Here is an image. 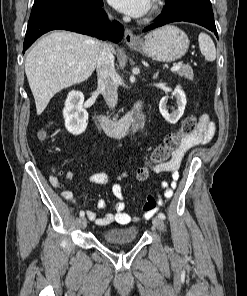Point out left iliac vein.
Here are the masks:
<instances>
[{
	"label": "left iliac vein",
	"mask_w": 247,
	"mask_h": 296,
	"mask_svg": "<svg viewBox=\"0 0 247 296\" xmlns=\"http://www.w3.org/2000/svg\"><path fill=\"white\" fill-rule=\"evenodd\" d=\"M152 223L158 230L164 231L165 224H164L163 219H161L159 217L153 218Z\"/></svg>",
	"instance_id": "left-iliac-vein-1"
}]
</instances>
